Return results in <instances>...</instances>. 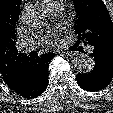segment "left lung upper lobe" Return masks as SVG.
Listing matches in <instances>:
<instances>
[{"mask_svg": "<svg viewBox=\"0 0 113 113\" xmlns=\"http://www.w3.org/2000/svg\"><path fill=\"white\" fill-rule=\"evenodd\" d=\"M77 11V44L100 43L113 49V22L102 0H72Z\"/></svg>", "mask_w": 113, "mask_h": 113, "instance_id": "1", "label": "left lung upper lobe"}]
</instances>
